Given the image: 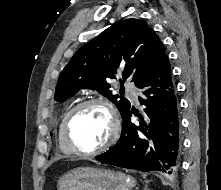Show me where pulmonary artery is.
<instances>
[{"label":"pulmonary artery","mask_w":221,"mask_h":190,"mask_svg":"<svg viewBox=\"0 0 221 190\" xmlns=\"http://www.w3.org/2000/svg\"><path fill=\"white\" fill-rule=\"evenodd\" d=\"M125 85H126V86H128V84H127V83H125ZM131 96H132V98H133L134 100H136L137 96H136V94H135V93H131Z\"/></svg>","instance_id":"obj_1"}]
</instances>
